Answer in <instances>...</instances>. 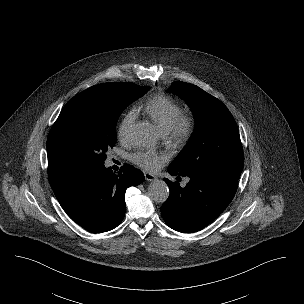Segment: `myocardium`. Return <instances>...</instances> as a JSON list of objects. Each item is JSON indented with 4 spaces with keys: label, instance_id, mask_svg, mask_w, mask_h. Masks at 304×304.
Returning <instances> with one entry per match:
<instances>
[{
    "label": "myocardium",
    "instance_id": "f54148a6",
    "mask_svg": "<svg viewBox=\"0 0 304 304\" xmlns=\"http://www.w3.org/2000/svg\"><path fill=\"white\" fill-rule=\"evenodd\" d=\"M195 118L189 112H180L168 130L164 132V137L167 141L182 145L190 140L195 131Z\"/></svg>",
    "mask_w": 304,
    "mask_h": 304
}]
</instances>
